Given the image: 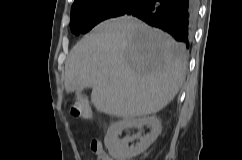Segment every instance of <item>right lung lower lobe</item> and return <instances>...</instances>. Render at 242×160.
I'll use <instances>...</instances> for the list:
<instances>
[{"label":"right lung lower lobe","mask_w":242,"mask_h":160,"mask_svg":"<svg viewBox=\"0 0 242 160\" xmlns=\"http://www.w3.org/2000/svg\"><path fill=\"white\" fill-rule=\"evenodd\" d=\"M198 11V0H143L126 12L160 28L190 46Z\"/></svg>","instance_id":"1"}]
</instances>
